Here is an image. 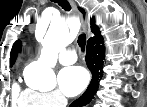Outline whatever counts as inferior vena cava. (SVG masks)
<instances>
[{"label": "inferior vena cava", "mask_w": 147, "mask_h": 107, "mask_svg": "<svg viewBox=\"0 0 147 107\" xmlns=\"http://www.w3.org/2000/svg\"><path fill=\"white\" fill-rule=\"evenodd\" d=\"M66 105H67V99L62 97V99H61V106L60 107H66Z\"/></svg>", "instance_id": "602c4592"}]
</instances>
